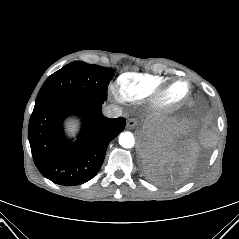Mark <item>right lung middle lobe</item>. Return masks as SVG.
I'll list each match as a JSON object with an SVG mask.
<instances>
[{"mask_svg":"<svg viewBox=\"0 0 239 239\" xmlns=\"http://www.w3.org/2000/svg\"><path fill=\"white\" fill-rule=\"evenodd\" d=\"M114 70L72 62L50 75L41 87L37 100L61 94L88 95L107 100V88Z\"/></svg>","mask_w":239,"mask_h":239,"instance_id":"obj_1","label":"right lung middle lobe"}]
</instances>
